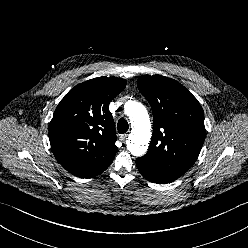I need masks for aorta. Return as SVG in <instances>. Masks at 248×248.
I'll use <instances>...</instances> for the list:
<instances>
[{"instance_id": "1", "label": "aorta", "mask_w": 248, "mask_h": 248, "mask_svg": "<svg viewBox=\"0 0 248 248\" xmlns=\"http://www.w3.org/2000/svg\"><path fill=\"white\" fill-rule=\"evenodd\" d=\"M124 108L133 127L127 147L132 155L140 157L146 153L147 144L150 141V118L145 106L139 102L128 101Z\"/></svg>"}]
</instances>
